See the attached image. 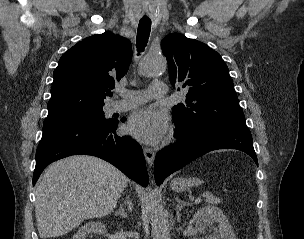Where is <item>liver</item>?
<instances>
[{
  "label": "liver",
  "mask_w": 304,
  "mask_h": 239,
  "mask_svg": "<svg viewBox=\"0 0 304 239\" xmlns=\"http://www.w3.org/2000/svg\"><path fill=\"white\" fill-rule=\"evenodd\" d=\"M129 179L99 158L76 155L51 164L36 188L35 216L41 238L67 234L84 219L117 205Z\"/></svg>",
  "instance_id": "6515ba94"
}]
</instances>
